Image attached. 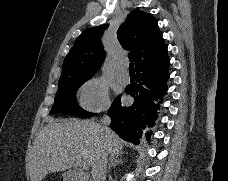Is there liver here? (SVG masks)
<instances>
[{"label":"liver","mask_w":228,"mask_h":181,"mask_svg":"<svg viewBox=\"0 0 228 181\" xmlns=\"http://www.w3.org/2000/svg\"><path fill=\"white\" fill-rule=\"evenodd\" d=\"M94 125L93 121L49 119L33 145L28 167L30 181H43L50 173L70 171L76 157H82L88 169L92 155L100 149L121 155L124 141L110 129L105 135H95Z\"/></svg>","instance_id":"obj_1"}]
</instances>
